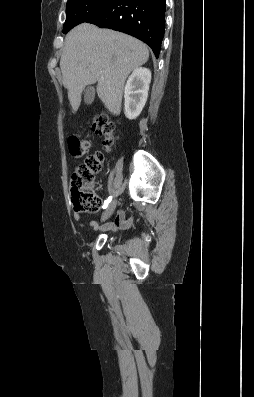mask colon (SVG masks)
Returning a JSON list of instances; mask_svg holds the SVG:
<instances>
[{"instance_id":"5ec220e1","label":"colon","mask_w":254,"mask_h":397,"mask_svg":"<svg viewBox=\"0 0 254 397\" xmlns=\"http://www.w3.org/2000/svg\"><path fill=\"white\" fill-rule=\"evenodd\" d=\"M93 133L103 136V145L110 150L115 144L114 123L105 115L95 116L91 123ZM70 154L81 157L89 151L90 143L77 135L68 138ZM103 154L95 153L87 156L84 161L77 165L70 178V195L74 210L83 213L96 212L101 204L100 198L92 191L91 186L95 175L101 170Z\"/></svg>"}]
</instances>
